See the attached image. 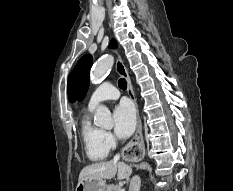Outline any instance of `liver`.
Returning a JSON list of instances; mask_svg holds the SVG:
<instances>
[{"instance_id": "liver-1", "label": "liver", "mask_w": 233, "mask_h": 191, "mask_svg": "<svg viewBox=\"0 0 233 191\" xmlns=\"http://www.w3.org/2000/svg\"><path fill=\"white\" fill-rule=\"evenodd\" d=\"M131 173V167L124 162H98L84 167L79 174V181L86 179H112L116 174L119 180H123L128 178Z\"/></svg>"}]
</instances>
